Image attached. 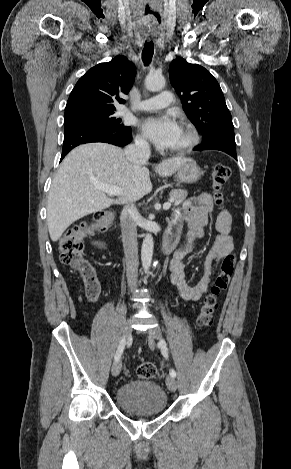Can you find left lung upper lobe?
Here are the masks:
<instances>
[{
  "mask_svg": "<svg viewBox=\"0 0 291 469\" xmlns=\"http://www.w3.org/2000/svg\"><path fill=\"white\" fill-rule=\"evenodd\" d=\"M169 75L183 110L203 135V144L216 139L235 140L232 117L222 90L208 70L177 57L170 64Z\"/></svg>",
  "mask_w": 291,
  "mask_h": 469,
  "instance_id": "left-lung-upper-lobe-1",
  "label": "left lung upper lobe"
}]
</instances>
